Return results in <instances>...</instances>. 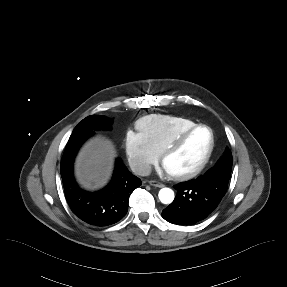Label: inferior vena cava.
<instances>
[{
	"instance_id": "obj_1",
	"label": "inferior vena cava",
	"mask_w": 287,
	"mask_h": 287,
	"mask_svg": "<svg viewBox=\"0 0 287 287\" xmlns=\"http://www.w3.org/2000/svg\"><path fill=\"white\" fill-rule=\"evenodd\" d=\"M131 170L140 176H148L151 173V166L146 163L136 162L130 165Z\"/></svg>"
}]
</instances>
